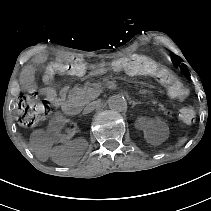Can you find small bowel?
<instances>
[{
	"label": "small bowel",
	"instance_id": "c3829d8e",
	"mask_svg": "<svg viewBox=\"0 0 211 211\" xmlns=\"http://www.w3.org/2000/svg\"><path fill=\"white\" fill-rule=\"evenodd\" d=\"M46 60L47 56L45 54H39L34 58L33 63L24 68L21 76V82L26 89H32L34 87V76L36 74L37 67L44 64ZM105 71H107V69H94L92 70L91 75L100 74ZM67 91V87H62L59 90L45 88L41 92L48 97L52 105L61 106L66 99Z\"/></svg>",
	"mask_w": 211,
	"mask_h": 211
}]
</instances>
